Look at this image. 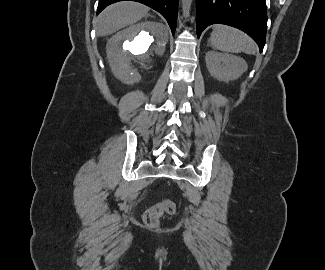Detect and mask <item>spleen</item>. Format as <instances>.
I'll use <instances>...</instances> for the list:
<instances>
[{
    "instance_id": "1",
    "label": "spleen",
    "mask_w": 325,
    "mask_h": 270,
    "mask_svg": "<svg viewBox=\"0 0 325 270\" xmlns=\"http://www.w3.org/2000/svg\"><path fill=\"white\" fill-rule=\"evenodd\" d=\"M209 42L214 49L223 52L255 54L253 40L242 31L233 27L219 25L212 31Z\"/></svg>"
}]
</instances>
